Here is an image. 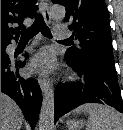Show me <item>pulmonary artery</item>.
Segmentation results:
<instances>
[{
	"mask_svg": "<svg viewBox=\"0 0 123 130\" xmlns=\"http://www.w3.org/2000/svg\"><path fill=\"white\" fill-rule=\"evenodd\" d=\"M71 35L69 29L62 24H57L54 27V36L57 39H66Z\"/></svg>",
	"mask_w": 123,
	"mask_h": 130,
	"instance_id": "1",
	"label": "pulmonary artery"
}]
</instances>
